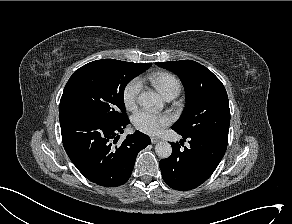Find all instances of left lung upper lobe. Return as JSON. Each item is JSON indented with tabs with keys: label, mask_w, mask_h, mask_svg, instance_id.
Masks as SVG:
<instances>
[{
	"label": "left lung upper lobe",
	"mask_w": 292,
	"mask_h": 224,
	"mask_svg": "<svg viewBox=\"0 0 292 224\" xmlns=\"http://www.w3.org/2000/svg\"><path fill=\"white\" fill-rule=\"evenodd\" d=\"M175 73L186 92V108L172 126L182 136L228 139L230 110L221 81L203 65L191 61L156 62Z\"/></svg>",
	"instance_id": "5c2ea615"
}]
</instances>
